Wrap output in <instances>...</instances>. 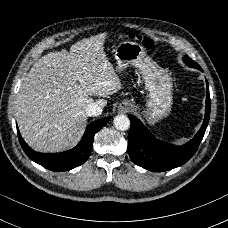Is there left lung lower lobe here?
<instances>
[{
	"label": "left lung lower lobe",
	"mask_w": 228,
	"mask_h": 228,
	"mask_svg": "<svg viewBox=\"0 0 228 228\" xmlns=\"http://www.w3.org/2000/svg\"><path fill=\"white\" fill-rule=\"evenodd\" d=\"M206 83L207 96L203 124L194 138L182 146L157 140L138 118L128 115L131 123L128 134V152L135 164L150 171L162 172L185 164L195 154L210 117L211 101L207 80Z\"/></svg>",
	"instance_id": "0a47b994"
}]
</instances>
